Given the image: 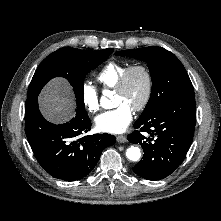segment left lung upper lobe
I'll use <instances>...</instances> for the list:
<instances>
[{"label": "left lung upper lobe", "instance_id": "5c2ea615", "mask_svg": "<svg viewBox=\"0 0 221 221\" xmlns=\"http://www.w3.org/2000/svg\"><path fill=\"white\" fill-rule=\"evenodd\" d=\"M118 56H128L147 63L152 78L150 99L139 118L148 116L155 108L182 99H194L190 78L179 59L170 51L150 46L117 51Z\"/></svg>", "mask_w": 221, "mask_h": 221}]
</instances>
